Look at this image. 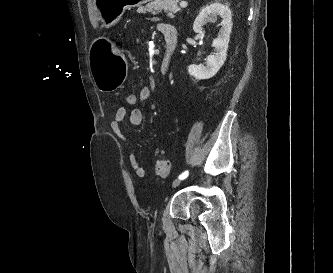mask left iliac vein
Instances as JSON below:
<instances>
[{
    "mask_svg": "<svg viewBox=\"0 0 333 273\" xmlns=\"http://www.w3.org/2000/svg\"><path fill=\"white\" fill-rule=\"evenodd\" d=\"M182 182L181 179H176L172 182V188L177 187L178 185H180V183Z\"/></svg>",
    "mask_w": 333,
    "mask_h": 273,
    "instance_id": "1",
    "label": "left iliac vein"
}]
</instances>
